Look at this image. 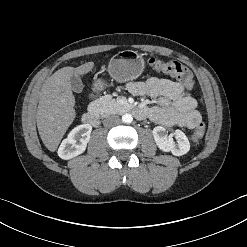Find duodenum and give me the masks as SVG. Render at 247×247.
Returning <instances> with one entry per match:
<instances>
[{
  "instance_id": "1",
  "label": "duodenum",
  "mask_w": 247,
  "mask_h": 247,
  "mask_svg": "<svg viewBox=\"0 0 247 247\" xmlns=\"http://www.w3.org/2000/svg\"><path fill=\"white\" fill-rule=\"evenodd\" d=\"M133 113L137 118H143L146 114L145 109L141 107H133ZM83 123L97 127L100 123L99 116L96 110L90 109L82 116Z\"/></svg>"
}]
</instances>
